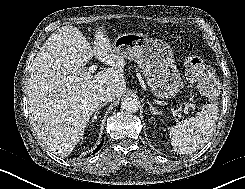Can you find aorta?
I'll return each instance as SVG.
<instances>
[{
  "label": "aorta",
  "mask_w": 245,
  "mask_h": 189,
  "mask_svg": "<svg viewBox=\"0 0 245 189\" xmlns=\"http://www.w3.org/2000/svg\"><path fill=\"white\" fill-rule=\"evenodd\" d=\"M121 108L127 112L135 113L139 108V101L133 97H126L121 102Z\"/></svg>",
  "instance_id": "762f6f07"
}]
</instances>
